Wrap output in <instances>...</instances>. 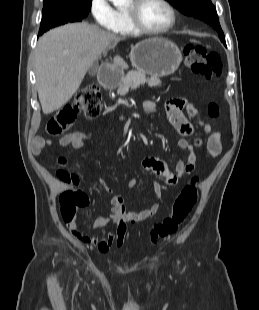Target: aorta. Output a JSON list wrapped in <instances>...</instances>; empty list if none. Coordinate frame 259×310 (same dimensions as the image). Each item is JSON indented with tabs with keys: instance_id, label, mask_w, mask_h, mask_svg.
Wrapping results in <instances>:
<instances>
[{
	"instance_id": "762f6f07",
	"label": "aorta",
	"mask_w": 259,
	"mask_h": 310,
	"mask_svg": "<svg viewBox=\"0 0 259 310\" xmlns=\"http://www.w3.org/2000/svg\"><path fill=\"white\" fill-rule=\"evenodd\" d=\"M109 1L112 2L114 6L117 7L122 6L127 2V0H109Z\"/></svg>"
}]
</instances>
